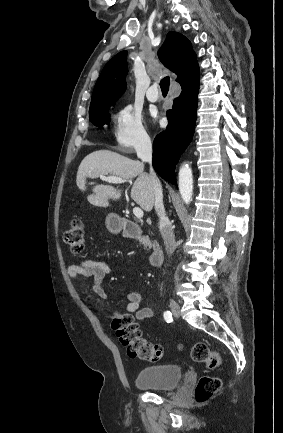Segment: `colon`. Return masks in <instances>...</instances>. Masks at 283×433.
<instances>
[{
    "label": "colon",
    "mask_w": 283,
    "mask_h": 433,
    "mask_svg": "<svg viewBox=\"0 0 283 433\" xmlns=\"http://www.w3.org/2000/svg\"><path fill=\"white\" fill-rule=\"evenodd\" d=\"M64 242L74 255H79L85 247V225L79 218L73 219L64 232ZM111 327L120 342L126 347L131 358L145 361H157L161 358L163 349L158 344L146 340L140 331L135 318L130 313L115 312L111 316ZM191 357L197 363L205 364L209 369H217L221 365L220 356L206 343L197 342L191 348ZM217 377L203 376L199 379L194 392L197 403L208 401L221 388Z\"/></svg>",
    "instance_id": "colon-1"
}]
</instances>
